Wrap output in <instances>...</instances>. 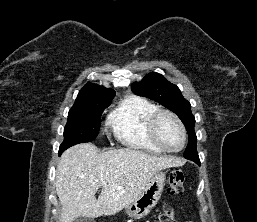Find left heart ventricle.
<instances>
[{
  "instance_id": "1",
  "label": "left heart ventricle",
  "mask_w": 257,
  "mask_h": 222,
  "mask_svg": "<svg viewBox=\"0 0 257 222\" xmlns=\"http://www.w3.org/2000/svg\"><path fill=\"white\" fill-rule=\"evenodd\" d=\"M157 133L162 143L170 149L182 144V133L177 123L169 116H162L157 124Z\"/></svg>"
}]
</instances>
